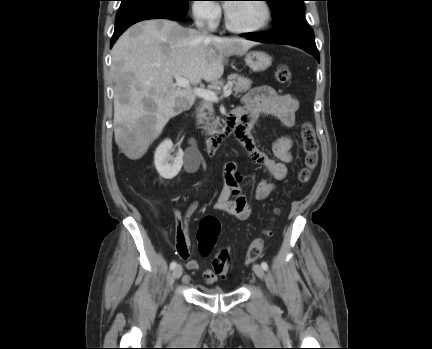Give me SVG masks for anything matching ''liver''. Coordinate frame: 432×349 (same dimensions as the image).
<instances>
[{"instance_id": "obj_1", "label": "liver", "mask_w": 432, "mask_h": 349, "mask_svg": "<svg viewBox=\"0 0 432 349\" xmlns=\"http://www.w3.org/2000/svg\"><path fill=\"white\" fill-rule=\"evenodd\" d=\"M257 43L222 38L166 19L148 20L125 31L112 49L115 142L132 160L141 158L171 118L188 110L195 92L177 87L174 76L192 86L218 80L232 55Z\"/></svg>"}]
</instances>
